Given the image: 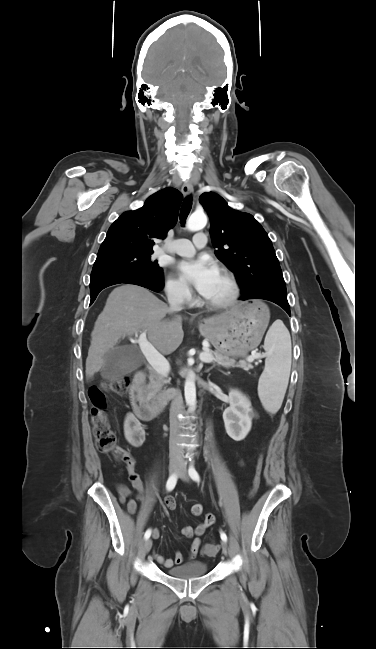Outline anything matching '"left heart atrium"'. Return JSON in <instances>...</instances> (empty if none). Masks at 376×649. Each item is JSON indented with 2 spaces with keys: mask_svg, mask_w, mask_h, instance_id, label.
Wrapping results in <instances>:
<instances>
[{
  "mask_svg": "<svg viewBox=\"0 0 376 649\" xmlns=\"http://www.w3.org/2000/svg\"><path fill=\"white\" fill-rule=\"evenodd\" d=\"M177 269L180 278L203 296L209 291L218 275L216 265L206 257L183 260L178 264Z\"/></svg>",
  "mask_w": 376,
  "mask_h": 649,
  "instance_id": "39dd6f15",
  "label": "left heart atrium"
}]
</instances>
